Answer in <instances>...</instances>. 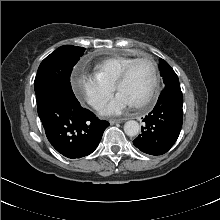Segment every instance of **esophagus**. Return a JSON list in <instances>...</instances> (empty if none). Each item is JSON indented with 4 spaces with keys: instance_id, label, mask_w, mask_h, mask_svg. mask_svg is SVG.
Masks as SVG:
<instances>
[{
    "instance_id": "1",
    "label": "esophagus",
    "mask_w": 220,
    "mask_h": 220,
    "mask_svg": "<svg viewBox=\"0 0 220 220\" xmlns=\"http://www.w3.org/2000/svg\"><path fill=\"white\" fill-rule=\"evenodd\" d=\"M125 120L126 119H110L109 122H110V124H115V123H121Z\"/></svg>"
}]
</instances>
